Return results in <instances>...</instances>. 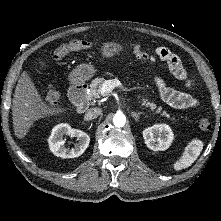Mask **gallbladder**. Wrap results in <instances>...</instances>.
<instances>
[{"mask_svg": "<svg viewBox=\"0 0 221 221\" xmlns=\"http://www.w3.org/2000/svg\"><path fill=\"white\" fill-rule=\"evenodd\" d=\"M35 66L39 70H46L48 68V61L44 57H37L35 59Z\"/></svg>", "mask_w": 221, "mask_h": 221, "instance_id": "1", "label": "gallbladder"}]
</instances>
